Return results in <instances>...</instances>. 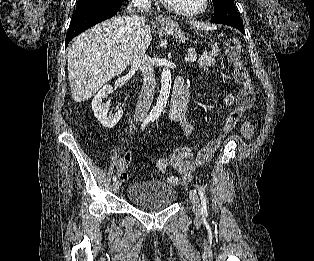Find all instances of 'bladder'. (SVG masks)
<instances>
[{
	"instance_id": "31cf9c89",
	"label": "bladder",
	"mask_w": 314,
	"mask_h": 261,
	"mask_svg": "<svg viewBox=\"0 0 314 261\" xmlns=\"http://www.w3.org/2000/svg\"><path fill=\"white\" fill-rule=\"evenodd\" d=\"M177 197L173 185L158 180L132 183L127 190V199L139 209L159 211L171 207Z\"/></svg>"
}]
</instances>
